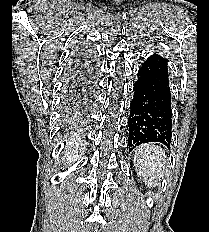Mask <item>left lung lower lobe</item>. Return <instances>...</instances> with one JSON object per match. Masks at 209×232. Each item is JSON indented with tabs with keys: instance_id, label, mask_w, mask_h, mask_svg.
<instances>
[{
	"instance_id": "left-lung-lower-lobe-1",
	"label": "left lung lower lobe",
	"mask_w": 209,
	"mask_h": 232,
	"mask_svg": "<svg viewBox=\"0 0 209 232\" xmlns=\"http://www.w3.org/2000/svg\"><path fill=\"white\" fill-rule=\"evenodd\" d=\"M128 118L129 150L147 142L169 147L172 137L171 92L167 63L160 55L148 57L138 71Z\"/></svg>"
}]
</instances>
